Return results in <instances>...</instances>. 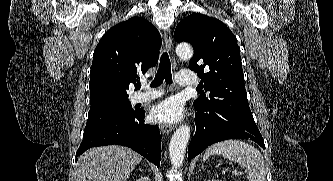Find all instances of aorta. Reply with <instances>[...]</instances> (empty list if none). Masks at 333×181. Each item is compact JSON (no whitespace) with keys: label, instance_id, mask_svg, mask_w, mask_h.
Segmentation results:
<instances>
[{"label":"aorta","instance_id":"obj_1","mask_svg":"<svg viewBox=\"0 0 333 181\" xmlns=\"http://www.w3.org/2000/svg\"><path fill=\"white\" fill-rule=\"evenodd\" d=\"M176 54L181 59H189L193 56V49L189 44H179L176 47ZM190 138V127L182 125L174 132L170 145L169 155L174 168H180L186 152V146Z\"/></svg>","mask_w":333,"mask_h":181}]
</instances>
